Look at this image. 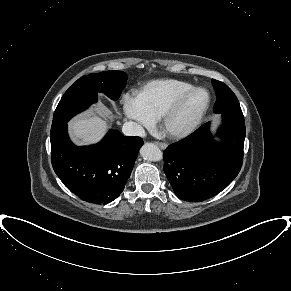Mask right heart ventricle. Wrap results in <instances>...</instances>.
<instances>
[{
    "label": "right heart ventricle",
    "mask_w": 291,
    "mask_h": 291,
    "mask_svg": "<svg viewBox=\"0 0 291 291\" xmlns=\"http://www.w3.org/2000/svg\"><path fill=\"white\" fill-rule=\"evenodd\" d=\"M193 84L179 79H158L147 83L137 94L143 109L154 119L160 118L168 105Z\"/></svg>",
    "instance_id": "obj_1"
}]
</instances>
